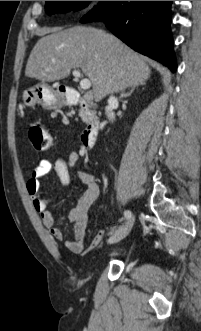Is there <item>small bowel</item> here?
Wrapping results in <instances>:
<instances>
[{
  "mask_svg": "<svg viewBox=\"0 0 201 331\" xmlns=\"http://www.w3.org/2000/svg\"><path fill=\"white\" fill-rule=\"evenodd\" d=\"M79 154L69 153L66 157L59 158L54 162L42 159L32 170L26 183L27 192L31 198L34 209L39 213L43 225L50 231L51 235L58 241H64L66 248L78 255H84L94 250L103 238V233L96 235L89 246H85V236L88 224V212L90 207L99 197L100 189L89 166L85 165V171L79 173V180L86 186L77 204L67 213V220L73 224L74 238L65 240L64 234L56 226L55 218L49 211L48 206L55 200V197H43L40 179L45 175L54 172L64 187L71 183L69 168L79 164Z\"/></svg>",
  "mask_w": 201,
  "mask_h": 331,
  "instance_id": "small-bowel-1",
  "label": "small bowel"
}]
</instances>
